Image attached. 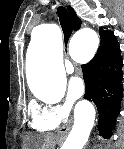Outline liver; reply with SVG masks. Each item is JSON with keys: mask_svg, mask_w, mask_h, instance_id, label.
I'll return each instance as SVG.
<instances>
[{"mask_svg": "<svg viewBox=\"0 0 124 149\" xmlns=\"http://www.w3.org/2000/svg\"><path fill=\"white\" fill-rule=\"evenodd\" d=\"M27 141L32 149H50L54 146L53 135L28 136Z\"/></svg>", "mask_w": 124, "mask_h": 149, "instance_id": "liver-1", "label": "liver"}]
</instances>
